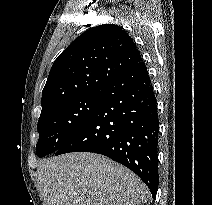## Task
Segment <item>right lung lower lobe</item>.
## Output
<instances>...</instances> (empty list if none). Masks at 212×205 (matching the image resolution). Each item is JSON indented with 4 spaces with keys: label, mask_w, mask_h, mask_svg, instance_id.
<instances>
[{
    "label": "right lung lower lobe",
    "mask_w": 212,
    "mask_h": 205,
    "mask_svg": "<svg viewBox=\"0 0 212 205\" xmlns=\"http://www.w3.org/2000/svg\"><path fill=\"white\" fill-rule=\"evenodd\" d=\"M158 131L157 101L141 60L101 90L99 105L55 155H105L135 172L155 198L159 182Z\"/></svg>",
    "instance_id": "obj_1"
}]
</instances>
